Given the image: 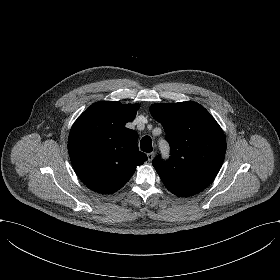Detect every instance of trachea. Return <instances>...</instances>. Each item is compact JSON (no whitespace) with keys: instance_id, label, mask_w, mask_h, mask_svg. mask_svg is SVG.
<instances>
[{"instance_id":"trachea-1","label":"trachea","mask_w":280,"mask_h":280,"mask_svg":"<svg viewBox=\"0 0 280 280\" xmlns=\"http://www.w3.org/2000/svg\"><path fill=\"white\" fill-rule=\"evenodd\" d=\"M141 150L144 152H152V141L149 136H145L140 142Z\"/></svg>"}]
</instances>
